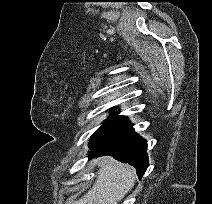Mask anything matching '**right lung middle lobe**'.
Segmentation results:
<instances>
[{"label":"right lung middle lobe","instance_id":"dd1d6c3e","mask_svg":"<svg viewBox=\"0 0 212 204\" xmlns=\"http://www.w3.org/2000/svg\"><path fill=\"white\" fill-rule=\"evenodd\" d=\"M129 125L130 123L125 116L109 117L107 122L91 136L89 147H96L110 140Z\"/></svg>","mask_w":212,"mask_h":204}]
</instances>
